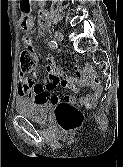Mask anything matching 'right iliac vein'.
Here are the masks:
<instances>
[{
  "instance_id": "63e3f726",
  "label": "right iliac vein",
  "mask_w": 123,
  "mask_h": 167,
  "mask_svg": "<svg viewBox=\"0 0 123 167\" xmlns=\"http://www.w3.org/2000/svg\"><path fill=\"white\" fill-rule=\"evenodd\" d=\"M54 36H55V38H56L58 41H60V42L64 40V37H63L62 33L59 32V31H55V32H54Z\"/></svg>"
}]
</instances>
